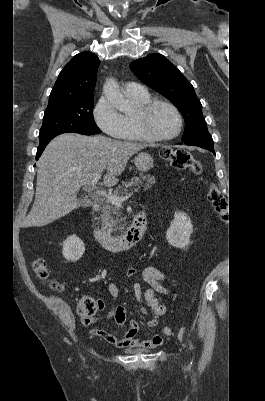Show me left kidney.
<instances>
[{
  "label": "left kidney",
  "mask_w": 265,
  "mask_h": 401,
  "mask_svg": "<svg viewBox=\"0 0 265 401\" xmlns=\"http://www.w3.org/2000/svg\"><path fill=\"white\" fill-rule=\"evenodd\" d=\"M191 233H193V225L186 213H175L174 221H171V225L166 231V239L172 247L185 249L189 245Z\"/></svg>",
  "instance_id": "left-kidney-1"
}]
</instances>
